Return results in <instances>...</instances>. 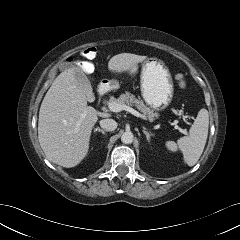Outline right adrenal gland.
Wrapping results in <instances>:
<instances>
[{"label":"right adrenal gland","instance_id":"2a0ac1e0","mask_svg":"<svg viewBox=\"0 0 240 240\" xmlns=\"http://www.w3.org/2000/svg\"><path fill=\"white\" fill-rule=\"evenodd\" d=\"M101 132L102 134H106V131L101 129L100 127L95 128L94 132Z\"/></svg>","mask_w":240,"mask_h":240}]
</instances>
